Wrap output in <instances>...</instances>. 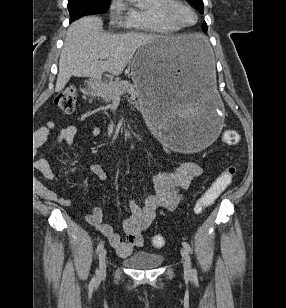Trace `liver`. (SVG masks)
I'll return each mask as SVG.
<instances>
[{"mask_svg": "<svg viewBox=\"0 0 286 308\" xmlns=\"http://www.w3.org/2000/svg\"><path fill=\"white\" fill-rule=\"evenodd\" d=\"M103 22L95 16L74 21L68 28L60 54L55 91L60 92L72 76L99 80L104 72L120 75L142 45L166 37L173 49L183 58L200 61L206 55V39L201 34L160 36L139 32L107 34ZM107 52V60L99 61Z\"/></svg>", "mask_w": 286, "mask_h": 308, "instance_id": "6515ba94", "label": "liver"}]
</instances>
